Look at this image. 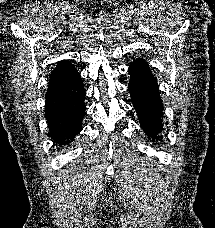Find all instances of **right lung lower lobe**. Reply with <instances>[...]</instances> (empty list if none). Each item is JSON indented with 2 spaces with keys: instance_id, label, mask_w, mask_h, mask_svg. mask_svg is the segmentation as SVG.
Returning a JSON list of instances; mask_svg holds the SVG:
<instances>
[{
  "instance_id": "obj_1",
  "label": "right lung lower lobe",
  "mask_w": 215,
  "mask_h": 228,
  "mask_svg": "<svg viewBox=\"0 0 215 228\" xmlns=\"http://www.w3.org/2000/svg\"><path fill=\"white\" fill-rule=\"evenodd\" d=\"M51 84L58 85V88L45 97L48 136L57 144L66 145L82 130L86 92L80 74L72 78L50 77L49 86Z\"/></svg>"
}]
</instances>
